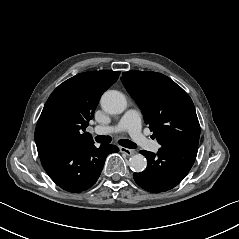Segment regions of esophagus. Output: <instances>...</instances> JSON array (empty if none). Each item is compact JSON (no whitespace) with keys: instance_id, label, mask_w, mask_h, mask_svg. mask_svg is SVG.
<instances>
[{"instance_id":"obj_1","label":"esophagus","mask_w":239,"mask_h":239,"mask_svg":"<svg viewBox=\"0 0 239 239\" xmlns=\"http://www.w3.org/2000/svg\"><path fill=\"white\" fill-rule=\"evenodd\" d=\"M120 152L128 155V156H132L133 154H135V151L134 150H131V149H128V148H125V147H120Z\"/></svg>"}]
</instances>
